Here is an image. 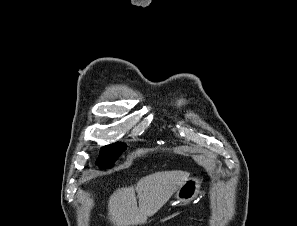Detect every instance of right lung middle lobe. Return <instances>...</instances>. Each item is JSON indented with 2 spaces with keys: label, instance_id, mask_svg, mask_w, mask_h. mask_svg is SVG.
<instances>
[{
  "label": "right lung middle lobe",
  "instance_id": "dd1d6c3e",
  "mask_svg": "<svg viewBox=\"0 0 297 226\" xmlns=\"http://www.w3.org/2000/svg\"><path fill=\"white\" fill-rule=\"evenodd\" d=\"M126 149L124 143H114L102 148L100 156L97 160V164L101 168H110L114 161L120 156V154Z\"/></svg>",
  "mask_w": 297,
  "mask_h": 226
}]
</instances>
